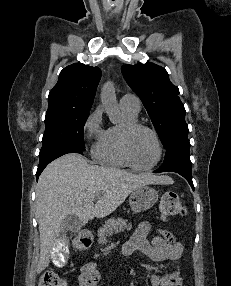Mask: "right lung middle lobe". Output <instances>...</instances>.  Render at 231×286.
I'll return each instance as SVG.
<instances>
[{
  "label": "right lung middle lobe",
  "instance_id": "dd1d6c3e",
  "mask_svg": "<svg viewBox=\"0 0 231 286\" xmlns=\"http://www.w3.org/2000/svg\"><path fill=\"white\" fill-rule=\"evenodd\" d=\"M89 109L48 108L39 157L63 147L85 151L83 129Z\"/></svg>",
  "mask_w": 231,
  "mask_h": 286
}]
</instances>
